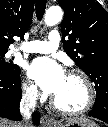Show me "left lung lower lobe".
I'll return each instance as SVG.
<instances>
[{"instance_id":"1","label":"left lung lower lobe","mask_w":108,"mask_h":127,"mask_svg":"<svg viewBox=\"0 0 108 127\" xmlns=\"http://www.w3.org/2000/svg\"><path fill=\"white\" fill-rule=\"evenodd\" d=\"M89 114L108 123V102L103 100L95 101L94 108Z\"/></svg>"}]
</instances>
